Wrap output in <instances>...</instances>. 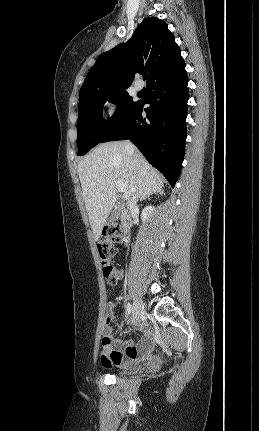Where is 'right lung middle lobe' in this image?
Here are the masks:
<instances>
[{"label":"right lung middle lobe","instance_id":"dd1d6c3e","mask_svg":"<svg viewBox=\"0 0 259 431\" xmlns=\"http://www.w3.org/2000/svg\"><path fill=\"white\" fill-rule=\"evenodd\" d=\"M108 99L117 105V110L111 119L105 121L102 117V105ZM136 104L126 89L91 94L80 101L77 120L78 156L86 154L92 147L103 142Z\"/></svg>","mask_w":259,"mask_h":431}]
</instances>
